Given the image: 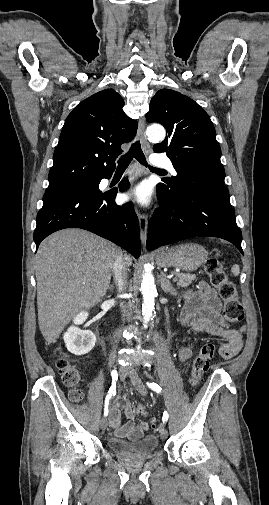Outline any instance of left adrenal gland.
Wrapping results in <instances>:
<instances>
[{
  "instance_id": "left-adrenal-gland-1",
  "label": "left adrenal gland",
  "mask_w": 269,
  "mask_h": 505,
  "mask_svg": "<svg viewBox=\"0 0 269 505\" xmlns=\"http://www.w3.org/2000/svg\"><path fill=\"white\" fill-rule=\"evenodd\" d=\"M161 288L165 293H169L171 295H176V290L172 286L171 282L166 279L165 274L161 272L160 276Z\"/></svg>"
}]
</instances>
